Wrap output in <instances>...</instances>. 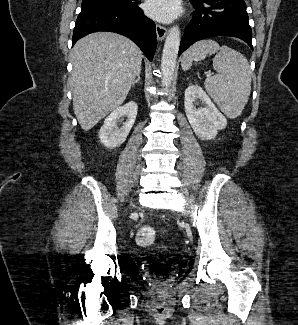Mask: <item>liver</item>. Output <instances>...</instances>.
<instances>
[{
  "label": "liver",
  "instance_id": "1",
  "mask_svg": "<svg viewBox=\"0 0 298 325\" xmlns=\"http://www.w3.org/2000/svg\"><path fill=\"white\" fill-rule=\"evenodd\" d=\"M142 50L121 34L93 32L72 48L73 110L83 130L124 102L141 70Z\"/></svg>",
  "mask_w": 298,
  "mask_h": 325
}]
</instances>
